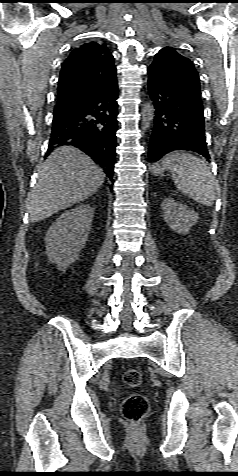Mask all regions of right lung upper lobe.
I'll use <instances>...</instances> for the list:
<instances>
[{
    "label": "right lung upper lobe",
    "mask_w": 238,
    "mask_h": 476,
    "mask_svg": "<svg viewBox=\"0 0 238 476\" xmlns=\"http://www.w3.org/2000/svg\"><path fill=\"white\" fill-rule=\"evenodd\" d=\"M116 82V67L106 45L85 43L75 48L62 64L54 111L80 107Z\"/></svg>",
    "instance_id": "obj_1"
}]
</instances>
